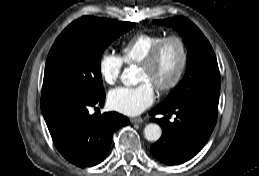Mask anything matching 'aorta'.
<instances>
[{"instance_id": "762f6f07", "label": "aorta", "mask_w": 259, "mask_h": 176, "mask_svg": "<svg viewBox=\"0 0 259 176\" xmlns=\"http://www.w3.org/2000/svg\"><path fill=\"white\" fill-rule=\"evenodd\" d=\"M121 81L123 84L130 86L135 83L134 72L131 68H125L122 75ZM162 135L161 127L156 123L148 124L144 129V136L148 141L156 142Z\"/></svg>"}]
</instances>
